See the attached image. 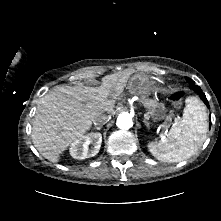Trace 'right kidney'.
Listing matches in <instances>:
<instances>
[{
  "instance_id": "ca27d5eb",
  "label": "right kidney",
  "mask_w": 221,
  "mask_h": 221,
  "mask_svg": "<svg viewBox=\"0 0 221 221\" xmlns=\"http://www.w3.org/2000/svg\"><path fill=\"white\" fill-rule=\"evenodd\" d=\"M102 135L100 133H90L76 139L70 147V155L75 159H86L95 156L101 147ZM93 147L89 149V145Z\"/></svg>"
}]
</instances>
